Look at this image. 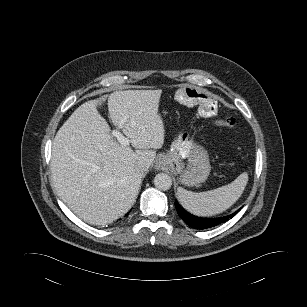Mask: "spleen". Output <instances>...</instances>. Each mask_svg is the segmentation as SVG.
<instances>
[{
    "label": "spleen",
    "instance_id": "3e777b00",
    "mask_svg": "<svg viewBox=\"0 0 307 307\" xmlns=\"http://www.w3.org/2000/svg\"><path fill=\"white\" fill-rule=\"evenodd\" d=\"M248 182V173L243 172L233 182L214 190L195 193L182 187L177 195L180 204L197 216H212L230 208L242 195Z\"/></svg>",
    "mask_w": 307,
    "mask_h": 307
}]
</instances>
